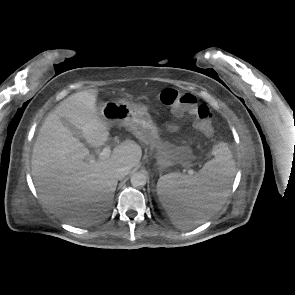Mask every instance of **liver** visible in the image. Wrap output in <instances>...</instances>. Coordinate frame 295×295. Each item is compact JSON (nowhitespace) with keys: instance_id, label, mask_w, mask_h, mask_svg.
<instances>
[{"instance_id":"6515ba94","label":"liver","mask_w":295,"mask_h":295,"mask_svg":"<svg viewBox=\"0 0 295 295\" xmlns=\"http://www.w3.org/2000/svg\"><path fill=\"white\" fill-rule=\"evenodd\" d=\"M98 90L77 92L63 100L46 117L35 141L31 167L36 190L44 205L64 221L77 223L106 210L117 187L114 172L131 170L142 156L132 140L116 146L109 158L95 161L88 148L63 125L80 130L93 147L109 138L108 124L97 108Z\"/></svg>"}]
</instances>
